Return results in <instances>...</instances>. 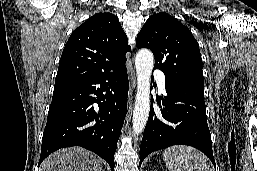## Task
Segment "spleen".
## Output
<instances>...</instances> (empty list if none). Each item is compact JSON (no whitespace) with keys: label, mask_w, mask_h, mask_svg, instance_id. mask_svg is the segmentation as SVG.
<instances>
[{"label":"spleen","mask_w":257,"mask_h":171,"mask_svg":"<svg viewBox=\"0 0 257 171\" xmlns=\"http://www.w3.org/2000/svg\"><path fill=\"white\" fill-rule=\"evenodd\" d=\"M169 171H211L206 156L189 146H173L163 152Z\"/></svg>","instance_id":"1"}]
</instances>
